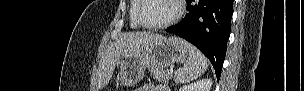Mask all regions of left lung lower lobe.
I'll return each mask as SVG.
<instances>
[{"instance_id": "obj_1", "label": "left lung lower lobe", "mask_w": 304, "mask_h": 91, "mask_svg": "<svg viewBox=\"0 0 304 91\" xmlns=\"http://www.w3.org/2000/svg\"><path fill=\"white\" fill-rule=\"evenodd\" d=\"M187 14L167 28L194 44L211 61L219 80L230 36L232 0H186Z\"/></svg>"}]
</instances>
